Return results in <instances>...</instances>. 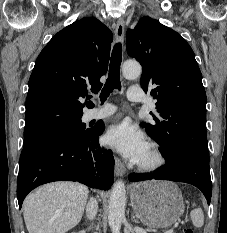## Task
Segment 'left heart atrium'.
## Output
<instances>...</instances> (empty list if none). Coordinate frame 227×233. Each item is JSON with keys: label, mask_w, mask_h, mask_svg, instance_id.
Wrapping results in <instances>:
<instances>
[{"label": "left heart atrium", "mask_w": 227, "mask_h": 233, "mask_svg": "<svg viewBox=\"0 0 227 233\" xmlns=\"http://www.w3.org/2000/svg\"><path fill=\"white\" fill-rule=\"evenodd\" d=\"M104 141L132 162H139L148 148L143 132L129 120L110 126L104 136Z\"/></svg>", "instance_id": "obj_1"}]
</instances>
